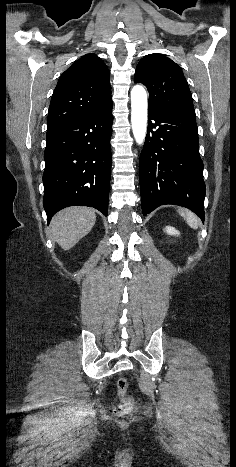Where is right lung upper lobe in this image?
<instances>
[{
  "mask_svg": "<svg viewBox=\"0 0 236 467\" xmlns=\"http://www.w3.org/2000/svg\"><path fill=\"white\" fill-rule=\"evenodd\" d=\"M109 71L95 54L75 61L59 78L51 98L47 130L79 120L112 102Z\"/></svg>",
  "mask_w": 236,
  "mask_h": 467,
  "instance_id": "obj_1",
  "label": "right lung upper lobe"
}]
</instances>
